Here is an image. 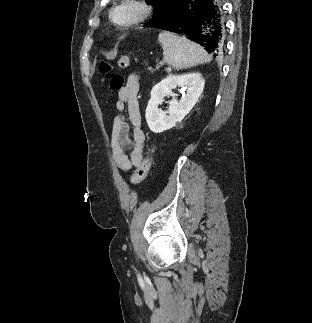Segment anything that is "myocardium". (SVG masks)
Listing matches in <instances>:
<instances>
[{
  "label": "myocardium",
  "instance_id": "f54148a6",
  "mask_svg": "<svg viewBox=\"0 0 312 323\" xmlns=\"http://www.w3.org/2000/svg\"><path fill=\"white\" fill-rule=\"evenodd\" d=\"M150 0H123V3H116L113 10H108L106 15L111 17L114 25L120 27H131L139 25L140 21H146L147 17L152 19L151 13L156 12L154 3Z\"/></svg>",
  "mask_w": 312,
  "mask_h": 323
}]
</instances>
